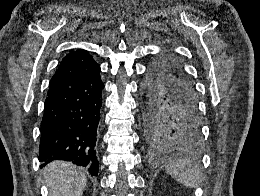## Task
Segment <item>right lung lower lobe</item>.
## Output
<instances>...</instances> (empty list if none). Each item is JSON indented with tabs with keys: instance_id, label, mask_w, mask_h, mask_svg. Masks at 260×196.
Instances as JSON below:
<instances>
[{
	"instance_id": "98d812e1",
	"label": "right lung lower lobe",
	"mask_w": 260,
	"mask_h": 196,
	"mask_svg": "<svg viewBox=\"0 0 260 196\" xmlns=\"http://www.w3.org/2000/svg\"><path fill=\"white\" fill-rule=\"evenodd\" d=\"M104 84L100 70L49 86L41 122V168L54 160L88 167L97 176V128Z\"/></svg>"
}]
</instances>
